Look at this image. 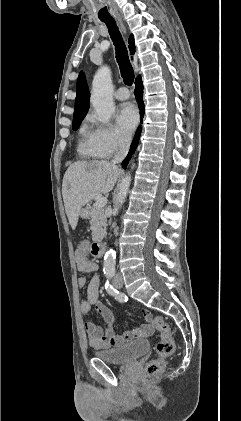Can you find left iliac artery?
I'll return each mask as SVG.
<instances>
[{
    "label": "left iliac artery",
    "instance_id": "44dca946",
    "mask_svg": "<svg viewBox=\"0 0 241 421\" xmlns=\"http://www.w3.org/2000/svg\"><path fill=\"white\" fill-rule=\"evenodd\" d=\"M109 277H113L114 276V270L108 271L107 272Z\"/></svg>",
    "mask_w": 241,
    "mask_h": 421
}]
</instances>
